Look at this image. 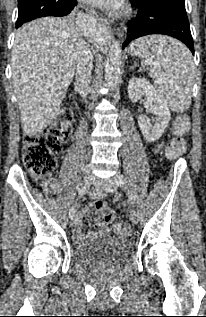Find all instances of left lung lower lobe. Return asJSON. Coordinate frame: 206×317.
Segmentation results:
<instances>
[{
	"mask_svg": "<svg viewBox=\"0 0 206 317\" xmlns=\"http://www.w3.org/2000/svg\"><path fill=\"white\" fill-rule=\"evenodd\" d=\"M131 5L138 9V13L127 24V39L122 45L123 49L130 41L141 36L164 34L179 39L194 54L185 6L159 0H142Z\"/></svg>",
	"mask_w": 206,
	"mask_h": 317,
	"instance_id": "obj_1",
	"label": "left lung lower lobe"
}]
</instances>
